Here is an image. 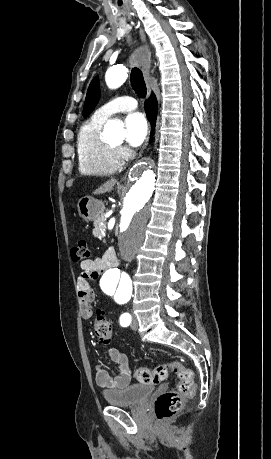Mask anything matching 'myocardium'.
I'll return each instance as SVG.
<instances>
[{
    "label": "myocardium",
    "instance_id": "f54148a6",
    "mask_svg": "<svg viewBox=\"0 0 271 459\" xmlns=\"http://www.w3.org/2000/svg\"><path fill=\"white\" fill-rule=\"evenodd\" d=\"M110 145H112L113 147H117V145L113 144V143H109Z\"/></svg>",
    "mask_w": 271,
    "mask_h": 459
}]
</instances>
